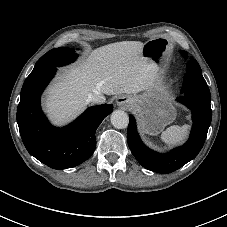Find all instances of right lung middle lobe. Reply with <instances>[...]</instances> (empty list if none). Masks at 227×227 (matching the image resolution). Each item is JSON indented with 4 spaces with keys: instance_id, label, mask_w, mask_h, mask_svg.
Returning a JSON list of instances; mask_svg holds the SVG:
<instances>
[{
    "instance_id": "dd1d6c3e",
    "label": "right lung middle lobe",
    "mask_w": 227,
    "mask_h": 227,
    "mask_svg": "<svg viewBox=\"0 0 227 227\" xmlns=\"http://www.w3.org/2000/svg\"><path fill=\"white\" fill-rule=\"evenodd\" d=\"M77 58V54L73 49L60 47L52 49L46 54H44L35 64L33 71L26 78H32L35 75L41 73L44 70H47L52 67H61L66 64H69Z\"/></svg>"
}]
</instances>
